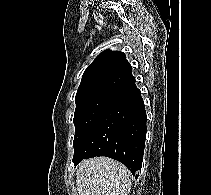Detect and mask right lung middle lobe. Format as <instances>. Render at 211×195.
Returning a JSON list of instances; mask_svg holds the SVG:
<instances>
[{"label":"right lung middle lobe","mask_w":211,"mask_h":195,"mask_svg":"<svg viewBox=\"0 0 211 195\" xmlns=\"http://www.w3.org/2000/svg\"><path fill=\"white\" fill-rule=\"evenodd\" d=\"M113 92L94 90L76 94V110L73 122L75 124L74 150L105 107Z\"/></svg>","instance_id":"obj_1"}]
</instances>
